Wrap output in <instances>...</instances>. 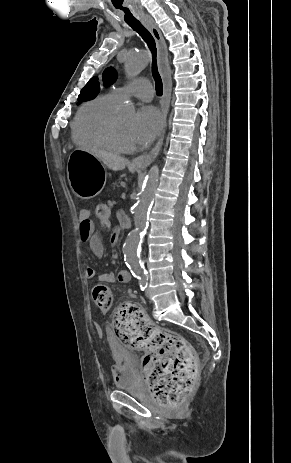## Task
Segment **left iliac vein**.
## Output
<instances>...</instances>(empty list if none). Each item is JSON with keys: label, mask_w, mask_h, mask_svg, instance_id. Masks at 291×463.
I'll list each match as a JSON object with an SVG mask.
<instances>
[{"label": "left iliac vein", "mask_w": 291, "mask_h": 463, "mask_svg": "<svg viewBox=\"0 0 291 463\" xmlns=\"http://www.w3.org/2000/svg\"><path fill=\"white\" fill-rule=\"evenodd\" d=\"M146 296H147V298H150V294H149V290H148V289H146Z\"/></svg>", "instance_id": "obj_1"}]
</instances>
